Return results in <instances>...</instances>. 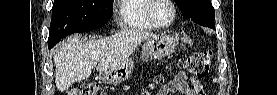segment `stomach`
Returning a JSON list of instances; mask_svg holds the SVG:
<instances>
[{"mask_svg": "<svg viewBox=\"0 0 277 95\" xmlns=\"http://www.w3.org/2000/svg\"><path fill=\"white\" fill-rule=\"evenodd\" d=\"M178 39L169 34L154 35L148 38L142 46L141 59L149 61L159 59L172 54L178 47ZM134 64L131 60H126L113 70L102 74L103 82L116 85L126 81L133 71Z\"/></svg>", "mask_w": 277, "mask_h": 95, "instance_id": "0dacf381", "label": "stomach"}]
</instances>
